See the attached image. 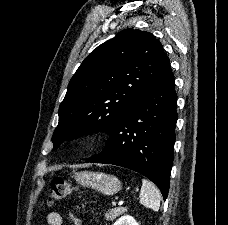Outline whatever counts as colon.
I'll use <instances>...</instances> for the list:
<instances>
[{"label":"colon","instance_id":"1","mask_svg":"<svg viewBox=\"0 0 228 225\" xmlns=\"http://www.w3.org/2000/svg\"><path fill=\"white\" fill-rule=\"evenodd\" d=\"M74 191L73 185L64 178H52L49 185V192L47 194V202L54 203L69 197ZM80 210L81 207L79 206Z\"/></svg>","mask_w":228,"mask_h":225}]
</instances>
